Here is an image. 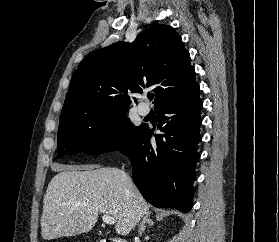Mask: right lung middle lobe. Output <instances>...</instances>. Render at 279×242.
I'll return each instance as SVG.
<instances>
[{"label":"right lung middle lobe","mask_w":279,"mask_h":242,"mask_svg":"<svg viewBox=\"0 0 279 242\" xmlns=\"http://www.w3.org/2000/svg\"><path fill=\"white\" fill-rule=\"evenodd\" d=\"M144 125H132L126 112L105 117L87 118L59 125L57 143L61 157L80 152L98 154L106 151H124L141 132Z\"/></svg>","instance_id":"dd1d6c3e"}]
</instances>
